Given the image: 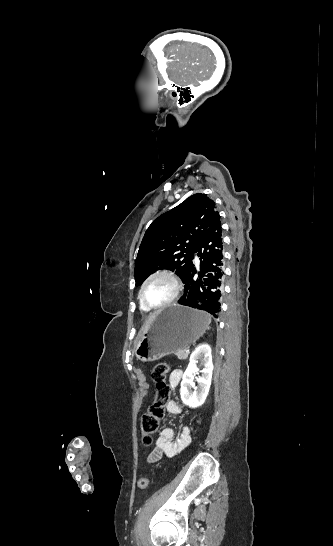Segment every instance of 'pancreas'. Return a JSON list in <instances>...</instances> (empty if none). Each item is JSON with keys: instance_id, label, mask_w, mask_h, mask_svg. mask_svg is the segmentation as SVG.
<instances>
[{"instance_id": "obj_1", "label": "pancreas", "mask_w": 333, "mask_h": 546, "mask_svg": "<svg viewBox=\"0 0 333 546\" xmlns=\"http://www.w3.org/2000/svg\"><path fill=\"white\" fill-rule=\"evenodd\" d=\"M188 354L185 349H180L175 352V355L178 357L179 360H185L188 358Z\"/></svg>"}]
</instances>
